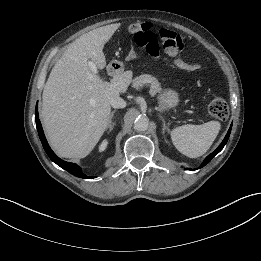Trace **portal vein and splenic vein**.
<instances>
[{
    "instance_id": "18ae733b",
    "label": "portal vein and splenic vein",
    "mask_w": 261,
    "mask_h": 261,
    "mask_svg": "<svg viewBox=\"0 0 261 261\" xmlns=\"http://www.w3.org/2000/svg\"><path fill=\"white\" fill-rule=\"evenodd\" d=\"M88 66H89V69L91 70L92 73H94V74H97V73H98L97 67H96V65L94 64V62L89 61V62H88Z\"/></svg>"
}]
</instances>
